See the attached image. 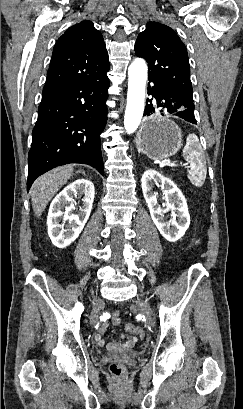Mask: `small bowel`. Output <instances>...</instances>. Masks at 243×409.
I'll use <instances>...</instances> for the list:
<instances>
[{
  "label": "small bowel",
  "instance_id": "1",
  "mask_svg": "<svg viewBox=\"0 0 243 409\" xmlns=\"http://www.w3.org/2000/svg\"><path fill=\"white\" fill-rule=\"evenodd\" d=\"M108 325H109V321L108 320L104 321L100 325L98 332L94 335V340L96 344L100 347H103L106 345L103 334L108 328ZM138 338L139 337L137 335L131 333V335L123 336L121 340H115V341L110 342L109 344H107V348L110 350L118 349V348H125V349L131 348L137 342Z\"/></svg>",
  "mask_w": 243,
  "mask_h": 409
}]
</instances>
